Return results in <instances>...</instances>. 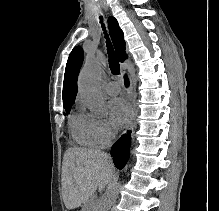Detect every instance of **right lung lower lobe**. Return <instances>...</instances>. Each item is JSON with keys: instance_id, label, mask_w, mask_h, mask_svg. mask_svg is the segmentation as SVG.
Returning <instances> with one entry per match:
<instances>
[{"instance_id": "98d812e1", "label": "right lung lower lobe", "mask_w": 219, "mask_h": 211, "mask_svg": "<svg viewBox=\"0 0 219 211\" xmlns=\"http://www.w3.org/2000/svg\"><path fill=\"white\" fill-rule=\"evenodd\" d=\"M125 78V84L128 86V78ZM130 136L129 132L121 136L115 144L112 146L111 149V156L113 157L114 164L118 169H122L125 164L127 163L129 156H130Z\"/></svg>"}]
</instances>
